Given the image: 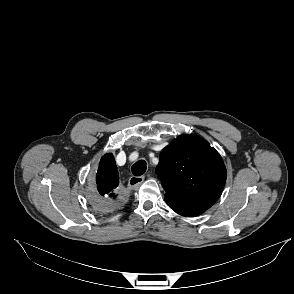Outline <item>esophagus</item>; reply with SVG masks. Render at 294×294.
Returning <instances> with one entry per match:
<instances>
[{
    "mask_svg": "<svg viewBox=\"0 0 294 294\" xmlns=\"http://www.w3.org/2000/svg\"><path fill=\"white\" fill-rule=\"evenodd\" d=\"M144 179V176H132L130 177L128 184L132 188H138L144 182Z\"/></svg>",
    "mask_w": 294,
    "mask_h": 294,
    "instance_id": "1",
    "label": "esophagus"
}]
</instances>
